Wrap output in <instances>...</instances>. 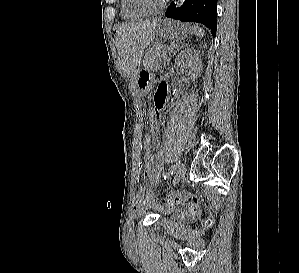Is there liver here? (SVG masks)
<instances>
[{
  "label": "liver",
  "mask_w": 299,
  "mask_h": 273,
  "mask_svg": "<svg viewBox=\"0 0 299 273\" xmlns=\"http://www.w3.org/2000/svg\"><path fill=\"white\" fill-rule=\"evenodd\" d=\"M160 19L144 22L124 23L115 34V45L126 71L136 77L145 48L155 37Z\"/></svg>",
  "instance_id": "1"
}]
</instances>
